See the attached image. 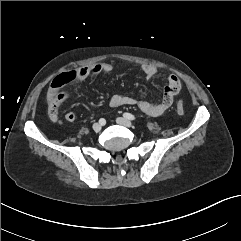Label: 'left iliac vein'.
Wrapping results in <instances>:
<instances>
[{
    "label": "left iliac vein",
    "instance_id": "obj_1",
    "mask_svg": "<svg viewBox=\"0 0 241 241\" xmlns=\"http://www.w3.org/2000/svg\"><path fill=\"white\" fill-rule=\"evenodd\" d=\"M116 122H117L119 125H122V126H125V127H132V123H131L129 120L123 118V117L117 118V119H116Z\"/></svg>",
    "mask_w": 241,
    "mask_h": 241
}]
</instances>
